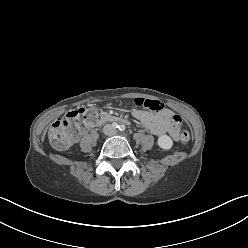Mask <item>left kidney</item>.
Listing matches in <instances>:
<instances>
[{
    "label": "left kidney",
    "mask_w": 248,
    "mask_h": 248,
    "mask_svg": "<svg viewBox=\"0 0 248 248\" xmlns=\"http://www.w3.org/2000/svg\"><path fill=\"white\" fill-rule=\"evenodd\" d=\"M157 143H158L159 147L162 148V149H164V150L171 149L172 146H173L172 139L168 135H166V134L161 135L158 138Z\"/></svg>",
    "instance_id": "obj_1"
}]
</instances>
